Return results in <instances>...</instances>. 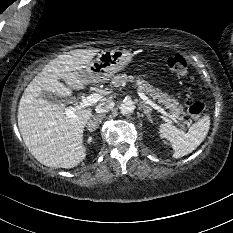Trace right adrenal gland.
Segmentation results:
<instances>
[{"mask_svg": "<svg viewBox=\"0 0 233 233\" xmlns=\"http://www.w3.org/2000/svg\"><path fill=\"white\" fill-rule=\"evenodd\" d=\"M104 117H105L104 114L92 116V118L89 120L87 124L88 130L92 131V130L97 129Z\"/></svg>", "mask_w": 233, "mask_h": 233, "instance_id": "obj_1", "label": "right adrenal gland"}]
</instances>
